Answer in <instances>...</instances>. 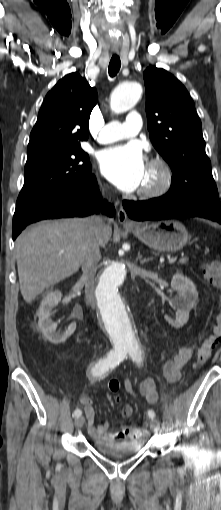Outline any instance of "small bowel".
<instances>
[{
    "instance_id": "1",
    "label": "small bowel",
    "mask_w": 221,
    "mask_h": 510,
    "mask_svg": "<svg viewBox=\"0 0 221 510\" xmlns=\"http://www.w3.org/2000/svg\"><path fill=\"white\" fill-rule=\"evenodd\" d=\"M196 349V345L184 346L179 349L177 354L170 360L164 363L163 371L166 379L170 383H176L181 377L182 368L191 360ZM126 390L132 394H138L145 398V400L154 404L157 401V390L155 383L152 379L147 378L141 381L139 384L134 385L130 380L126 381ZM81 404L84 406V413L87 420V430L90 436L94 440L98 441H114L123 439H132L135 436L133 432L136 430L130 426H123L118 432L110 431V423L108 421L103 422L100 425L95 424V410L93 401L91 398L83 396L80 398ZM131 412L128 416L133 414L131 406H126Z\"/></svg>"
}]
</instances>
